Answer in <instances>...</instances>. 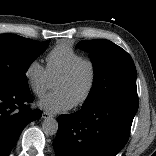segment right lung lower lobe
I'll return each mask as SVG.
<instances>
[{
  "mask_svg": "<svg viewBox=\"0 0 156 156\" xmlns=\"http://www.w3.org/2000/svg\"><path fill=\"white\" fill-rule=\"evenodd\" d=\"M32 101L29 88L0 85V156H8L24 127L41 117L40 110L28 109L26 103Z\"/></svg>",
  "mask_w": 156,
  "mask_h": 156,
  "instance_id": "right-lung-lower-lobe-1",
  "label": "right lung lower lobe"
}]
</instances>
